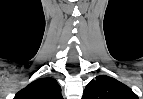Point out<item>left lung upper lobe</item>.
<instances>
[{
	"instance_id": "left-lung-upper-lobe-1",
	"label": "left lung upper lobe",
	"mask_w": 143,
	"mask_h": 99,
	"mask_svg": "<svg viewBox=\"0 0 143 99\" xmlns=\"http://www.w3.org/2000/svg\"><path fill=\"white\" fill-rule=\"evenodd\" d=\"M83 99H139L125 84L115 78L101 75L87 84Z\"/></svg>"
}]
</instances>
